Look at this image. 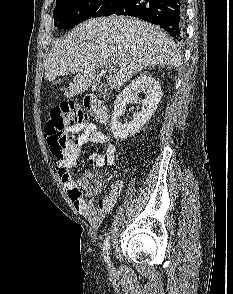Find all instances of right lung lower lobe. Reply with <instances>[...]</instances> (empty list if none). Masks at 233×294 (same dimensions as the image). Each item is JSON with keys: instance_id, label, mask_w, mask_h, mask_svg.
<instances>
[{"instance_id": "1", "label": "right lung lower lobe", "mask_w": 233, "mask_h": 294, "mask_svg": "<svg viewBox=\"0 0 233 294\" xmlns=\"http://www.w3.org/2000/svg\"><path fill=\"white\" fill-rule=\"evenodd\" d=\"M129 15L159 25L171 36H183V0H123L110 15Z\"/></svg>"}]
</instances>
